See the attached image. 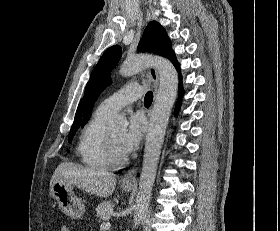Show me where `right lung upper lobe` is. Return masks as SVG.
<instances>
[{
	"instance_id": "cb5924a9",
	"label": "right lung upper lobe",
	"mask_w": 280,
	"mask_h": 231,
	"mask_svg": "<svg viewBox=\"0 0 280 231\" xmlns=\"http://www.w3.org/2000/svg\"><path fill=\"white\" fill-rule=\"evenodd\" d=\"M81 116H82V100L80 101V104L77 108L75 119H74V124L71 129H76L80 126Z\"/></svg>"
}]
</instances>
